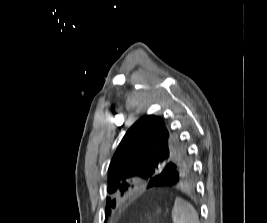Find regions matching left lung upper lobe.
<instances>
[{"label": "left lung upper lobe", "mask_w": 267, "mask_h": 223, "mask_svg": "<svg viewBox=\"0 0 267 223\" xmlns=\"http://www.w3.org/2000/svg\"><path fill=\"white\" fill-rule=\"evenodd\" d=\"M193 171L186 147L170 124L153 115L141 117L126 132L108 169L109 194L127 191L135 179L152 181L153 173ZM116 200L107 198L106 218Z\"/></svg>", "instance_id": "left-lung-upper-lobe-1"}]
</instances>
